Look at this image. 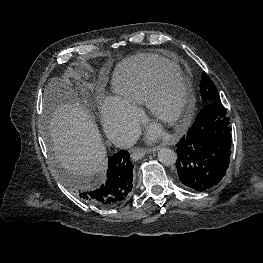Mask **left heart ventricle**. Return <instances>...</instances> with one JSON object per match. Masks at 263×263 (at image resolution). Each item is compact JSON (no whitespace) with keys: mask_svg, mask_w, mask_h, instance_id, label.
Returning a JSON list of instances; mask_svg holds the SVG:
<instances>
[{"mask_svg":"<svg viewBox=\"0 0 263 263\" xmlns=\"http://www.w3.org/2000/svg\"><path fill=\"white\" fill-rule=\"evenodd\" d=\"M180 103V85L174 80L166 81L161 87L157 102V110L160 116V119H158L157 121L164 125L165 123L163 122V120L172 118L176 114Z\"/></svg>","mask_w":263,"mask_h":263,"instance_id":"b2bd125f","label":"left heart ventricle"}]
</instances>
